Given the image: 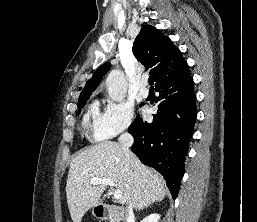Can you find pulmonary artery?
I'll use <instances>...</instances> for the list:
<instances>
[{
  "label": "pulmonary artery",
  "mask_w": 257,
  "mask_h": 222,
  "mask_svg": "<svg viewBox=\"0 0 257 222\" xmlns=\"http://www.w3.org/2000/svg\"><path fill=\"white\" fill-rule=\"evenodd\" d=\"M140 94L143 97H147L149 95V90L147 88V80L143 79L140 85Z\"/></svg>",
  "instance_id": "obj_1"
}]
</instances>
